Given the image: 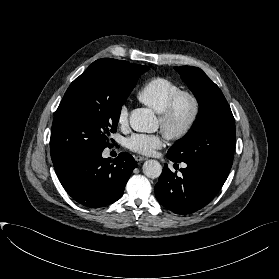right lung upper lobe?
<instances>
[{
    "label": "right lung upper lobe",
    "mask_w": 279,
    "mask_h": 279,
    "mask_svg": "<svg viewBox=\"0 0 279 279\" xmlns=\"http://www.w3.org/2000/svg\"><path fill=\"white\" fill-rule=\"evenodd\" d=\"M104 61L111 62L113 68L115 70H117L118 73H120L122 76H125V77H130V76L138 73L139 70L141 69V65L131 64L127 61H121V60H116V59H111V58L99 59V60L93 62V65L104 62Z\"/></svg>",
    "instance_id": "1"
}]
</instances>
